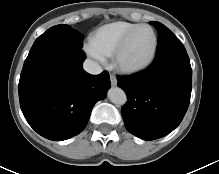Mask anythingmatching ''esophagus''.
<instances>
[{"label":"esophagus","instance_id":"obj_1","mask_svg":"<svg viewBox=\"0 0 219 174\" xmlns=\"http://www.w3.org/2000/svg\"><path fill=\"white\" fill-rule=\"evenodd\" d=\"M110 81L113 86L117 84V79L113 74H110Z\"/></svg>","mask_w":219,"mask_h":174}]
</instances>
